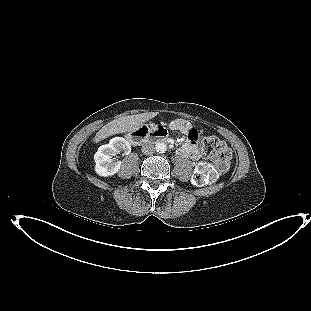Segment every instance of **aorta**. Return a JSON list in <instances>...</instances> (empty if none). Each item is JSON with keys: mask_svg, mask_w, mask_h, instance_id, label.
<instances>
[{"mask_svg": "<svg viewBox=\"0 0 311 311\" xmlns=\"http://www.w3.org/2000/svg\"><path fill=\"white\" fill-rule=\"evenodd\" d=\"M155 149L159 153H164L166 151V149H167L166 148V144L162 143V142L161 143L159 142V143L156 144Z\"/></svg>", "mask_w": 311, "mask_h": 311, "instance_id": "1", "label": "aorta"}]
</instances>
